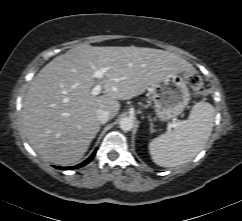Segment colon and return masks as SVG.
<instances>
[{"instance_id":"colon-1","label":"colon","mask_w":242,"mask_h":221,"mask_svg":"<svg viewBox=\"0 0 242 221\" xmlns=\"http://www.w3.org/2000/svg\"><path fill=\"white\" fill-rule=\"evenodd\" d=\"M189 83L193 89V93L198 96L202 97L206 95V89L202 85V80L199 74L191 73L188 76Z\"/></svg>"}]
</instances>
